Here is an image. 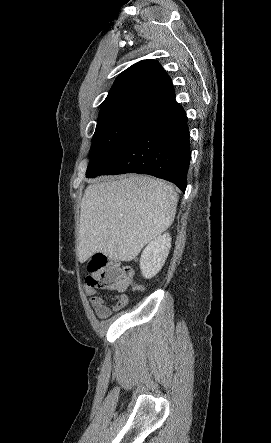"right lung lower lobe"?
I'll list each match as a JSON object with an SVG mask.
<instances>
[{"label": "right lung lower lobe", "mask_w": 271, "mask_h": 443, "mask_svg": "<svg viewBox=\"0 0 271 443\" xmlns=\"http://www.w3.org/2000/svg\"><path fill=\"white\" fill-rule=\"evenodd\" d=\"M190 163L186 113L175 97L154 104L133 125L107 164L87 176L149 174L187 186Z\"/></svg>", "instance_id": "1"}]
</instances>
